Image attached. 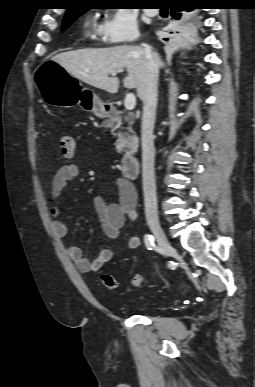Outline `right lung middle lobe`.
Instances as JSON below:
<instances>
[{
    "instance_id": "dd1d6c3e",
    "label": "right lung middle lobe",
    "mask_w": 255,
    "mask_h": 387,
    "mask_svg": "<svg viewBox=\"0 0 255 387\" xmlns=\"http://www.w3.org/2000/svg\"><path fill=\"white\" fill-rule=\"evenodd\" d=\"M86 11V10H85ZM85 11H79V10H72V11H69L65 14V17H64V20H63V24H62V28L61 30H65L67 29L70 24L76 19L78 18L81 14H83Z\"/></svg>"
}]
</instances>
